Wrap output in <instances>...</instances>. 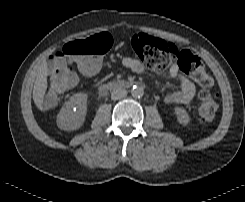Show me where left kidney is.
I'll use <instances>...</instances> for the list:
<instances>
[{
    "label": "left kidney",
    "instance_id": "left-kidney-1",
    "mask_svg": "<svg viewBox=\"0 0 245 202\" xmlns=\"http://www.w3.org/2000/svg\"><path fill=\"white\" fill-rule=\"evenodd\" d=\"M174 110H175V114L177 115V121L180 124L186 125L189 123L190 117L184 108L176 107Z\"/></svg>",
    "mask_w": 245,
    "mask_h": 202
}]
</instances>
